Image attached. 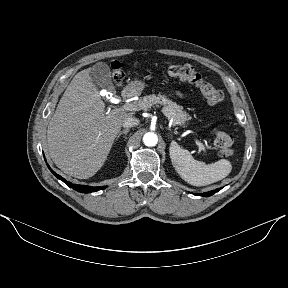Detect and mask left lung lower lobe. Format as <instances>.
<instances>
[{
	"instance_id": "left-lung-lower-lobe-1",
	"label": "left lung lower lobe",
	"mask_w": 288,
	"mask_h": 288,
	"mask_svg": "<svg viewBox=\"0 0 288 288\" xmlns=\"http://www.w3.org/2000/svg\"><path fill=\"white\" fill-rule=\"evenodd\" d=\"M220 189L221 188H218V189H215V190H212L209 192H205V193H201V194H197V195L204 196V197L211 196V195L215 194L216 192H218Z\"/></svg>"
}]
</instances>
